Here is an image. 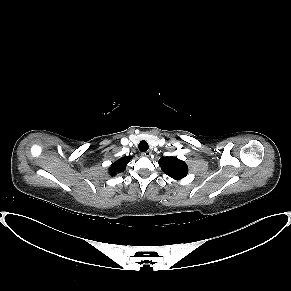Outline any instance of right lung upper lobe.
I'll return each mask as SVG.
<instances>
[{"mask_svg": "<svg viewBox=\"0 0 291 291\" xmlns=\"http://www.w3.org/2000/svg\"><path fill=\"white\" fill-rule=\"evenodd\" d=\"M131 159V156H127L117 160L115 163H112L109 169L110 174L114 176L116 173L124 172L126 165Z\"/></svg>", "mask_w": 291, "mask_h": 291, "instance_id": "right-lung-upper-lobe-1", "label": "right lung upper lobe"}]
</instances>
